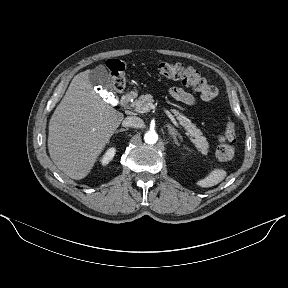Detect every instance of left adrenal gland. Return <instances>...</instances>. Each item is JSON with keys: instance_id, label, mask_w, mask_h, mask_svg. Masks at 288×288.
I'll list each match as a JSON object with an SVG mask.
<instances>
[{"instance_id": "a2214340", "label": "left adrenal gland", "mask_w": 288, "mask_h": 288, "mask_svg": "<svg viewBox=\"0 0 288 288\" xmlns=\"http://www.w3.org/2000/svg\"><path fill=\"white\" fill-rule=\"evenodd\" d=\"M166 127L168 128L169 133L172 135L175 144H178L177 138L181 139V136L178 133V131L174 127H172L170 124H167Z\"/></svg>"}]
</instances>
